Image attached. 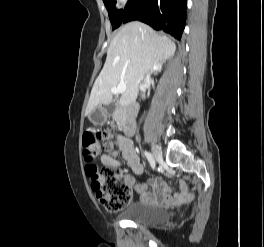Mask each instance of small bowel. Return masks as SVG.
I'll return each mask as SVG.
<instances>
[{"label": "small bowel", "mask_w": 264, "mask_h": 247, "mask_svg": "<svg viewBox=\"0 0 264 247\" xmlns=\"http://www.w3.org/2000/svg\"><path fill=\"white\" fill-rule=\"evenodd\" d=\"M120 147L123 153V158L128 166H130L135 173H141L143 171V167L138 160L135 150L132 147L131 141L125 137L120 138ZM102 162L106 166H115L117 164L113 158L107 155L102 156ZM126 180L129 184H133L134 182V178L132 176H127ZM151 185L154 190L159 193V195L147 194L146 187L139 186L137 188V192L142 195L143 201L148 202L156 200L165 204H171L179 201L189 200L192 196V192L189 186L185 183L182 184L181 191L179 193H173V191L168 187L165 181L160 178L152 180Z\"/></svg>", "instance_id": "small-bowel-1"}]
</instances>
